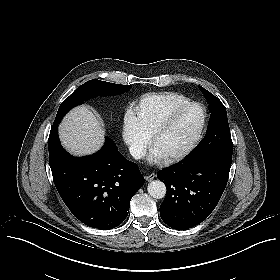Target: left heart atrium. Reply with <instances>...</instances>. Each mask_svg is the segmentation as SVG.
Here are the masks:
<instances>
[{
    "label": "left heart atrium",
    "mask_w": 280,
    "mask_h": 280,
    "mask_svg": "<svg viewBox=\"0 0 280 280\" xmlns=\"http://www.w3.org/2000/svg\"><path fill=\"white\" fill-rule=\"evenodd\" d=\"M149 159L152 164L157 165V166H164V165L168 164V160L166 159V157L159 151H153L150 154Z\"/></svg>",
    "instance_id": "1"
}]
</instances>
